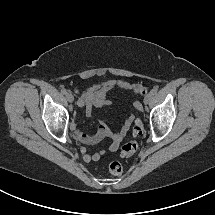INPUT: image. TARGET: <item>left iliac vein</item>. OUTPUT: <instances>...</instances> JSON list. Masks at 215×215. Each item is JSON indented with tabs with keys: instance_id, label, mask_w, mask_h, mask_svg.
I'll use <instances>...</instances> for the list:
<instances>
[{
	"instance_id": "obj_1",
	"label": "left iliac vein",
	"mask_w": 215,
	"mask_h": 215,
	"mask_svg": "<svg viewBox=\"0 0 215 215\" xmlns=\"http://www.w3.org/2000/svg\"><path fill=\"white\" fill-rule=\"evenodd\" d=\"M152 95L151 94H147L144 97V104H148L151 101Z\"/></svg>"
}]
</instances>
